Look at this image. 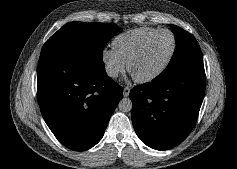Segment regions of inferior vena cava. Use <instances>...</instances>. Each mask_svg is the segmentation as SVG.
<instances>
[{
  "mask_svg": "<svg viewBox=\"0 0 237 169\" xmlns=\"http://www.w3.org/2000/svg\"><path fill=\"white\" fill-rule=\"evenodd\" d=\"M106 73L108 76L112 77V78H116L118 76L119 71L111 66H107L106 67Z\"/></svg>",
  "mask_w": 237,
  "mask_h": 169,
  "instance_id": "602c4592",
  "label": "inferior vena cava"
}]
</instances>
